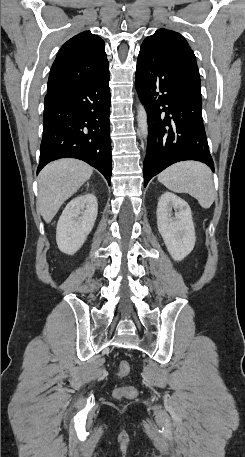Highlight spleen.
Returning <instances> with one entry per match:
<instances>
[{
  "instance_id": "obj_1",
  "label": "spleen",
  "mask_w": 245,
  "mask_h": 457,
  "mask_svg": "<svg viewBox=\"0 0 245 457\" xmlns=\"http://www.w3.org/2000/svg\"><path fill=\"white\" fill-rule=\"evenodd\" d=\"M159 182L173 192H189L197 198L203 208H209L214 202L216 190L212 170L198 160H183L168 166L158 174Z\"/></svg>"
}]
</instances>
